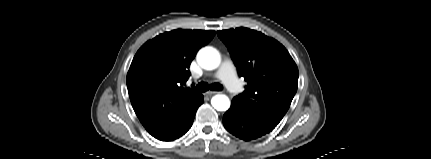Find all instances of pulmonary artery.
I'll list each match as a JSON object with an SVG mask.
<instances>
[{"label":"pulmonary artery","mask_w":431,"mask_h":159,"mask_svg":"<svg viewBox=\"0 0 431 159\" xmlns=\"http://www.w3.org/2000/svg\"><path fill=\"white\" fill-rule=\"evenodd\" d=\"M214 77L221 80L230 92L237 94L242 91V85L231 60L225 59L216 71Z\"/></svg>","instance_id":"obj_1"}]
</instances>
